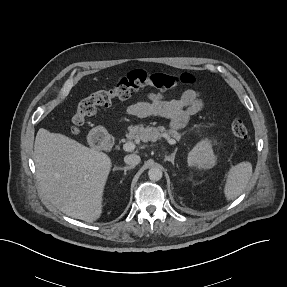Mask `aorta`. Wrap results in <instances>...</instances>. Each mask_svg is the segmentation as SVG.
I'll return each instance as SVG.
<instances>
[{"label":"aorta","mask_w":287,"mask_h":287,"mask_svg":"<svg viewBox=\"0 0 287 287\" xmlns=\"http://www.w3.org/2000/svg\"><path fill=\"white\" fill-rule=\"evenodd\" d=\"M162 170L158 167H152L148 171V176L152 181H158L162 178Z\"/></svg>","instance_id":"aorta-1"}]
</instances>
